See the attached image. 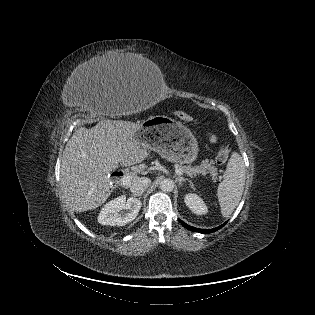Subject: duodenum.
<instances>
[{"instance_id": "duodenum-1", "label": "duodenum", "mask_w": 315, "mask_h": 315, "mask_svg": "<svg viewBox=\"0 0 315 315\" xmlns=\"http://www.w3.org/2000/svg\"><path fill=\"white\" fill-rule=\"evenodd\" d=\"M112 176H113L114 179L119 180V179H121L124 176V173L122 171H120V170H117V171H115L112 174Z\"/></svg>"}]
</instances>
